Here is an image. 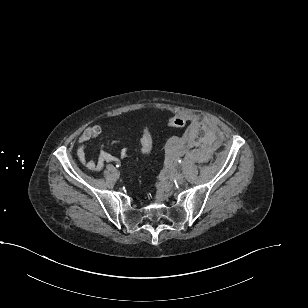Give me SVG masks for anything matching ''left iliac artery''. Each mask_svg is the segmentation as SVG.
Returning a JSON list of instances; mask_svg holds the SVG:
<instances>
[{
	"instance_id": "44dca946",
	"label": "left iliac artery",
	"mask_w": 308,
	"mask_h": 308,
	"mask_svg": "<svg viewBox=\"0 0 308 308\" xmlns=\"http://www.w3.org/2000/svg\"><path fill=\"white\" fill-rule=\"evenodd\" d=\"M178 162H179V163H181V162H182V160H179Z\"/></svg>"
}]
</instances>
